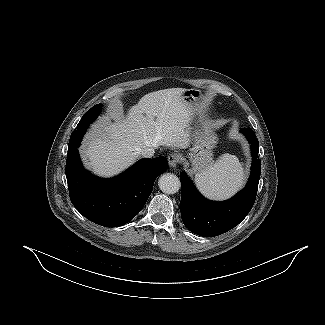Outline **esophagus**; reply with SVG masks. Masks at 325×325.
<instances>
[{
	"instance_id": "34e87169",
	"label": "esophagus",
	"mask_w": 325,
	"mask_h": 325,
	"mask_svg": "<svg viewBox=\"0 0 325 325\" xmlns=\"http://www.w3.org/2000/svg\"><path fill=\"white\" fill-rule=\"evenodd\" d=\"M180 162V156L178 154L172 153L168 156V163L170 167L175 168Z\"/></svg>"
}]
</instances>
